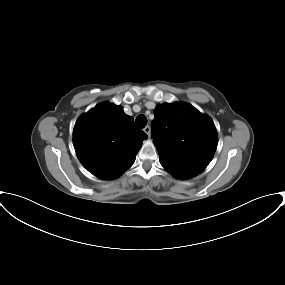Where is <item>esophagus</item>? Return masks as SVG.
Returning a JSON list of instances; mask_svg holds the SVG:
<instances>
[{
    "label": "esophagus",
    "instance_id": "esophagus-1",
    "mask_svg": "<svg viewBox=\"0 0 285 285\" xmlns=\"http://www.w3.org/2000/svg\"><path fill=\"white\" fill-rule=\"evenodd\" d=\"M143 130L148 135V137H150V135H151V128H150V126L147 125Z\"/></svg>",
    "mask_w": 285,
    "mask_h": 285
}]
</instances>
